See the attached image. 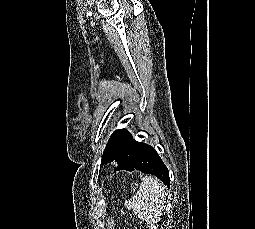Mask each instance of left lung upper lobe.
<instances>
[{
  "label": "left lung upper lobe",
  "instance_id": "1",
  "mask_svg": "<svg viewBox=\"0 0 255 229\" xmlns=\"http://www.w3.org/2000/svg\"><path fill=\"white\" fill-rule=\"evenodd\" d=\"M129 143V138L119 131L114 132L104 150L101 163L111 162L113 158L123 153Z\"/></svg>",
  "mask_w": 255,
  "mask_h": 229
}]
</instances>
